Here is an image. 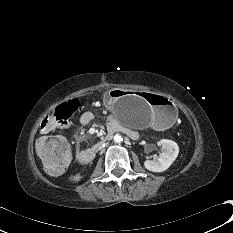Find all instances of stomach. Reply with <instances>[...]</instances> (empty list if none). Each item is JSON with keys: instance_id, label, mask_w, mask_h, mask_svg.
<instances>
[{"instance_id": "0dacf381", "label": "stomach", "mask_w": 233, "mask_h": 233, "mask_svg": "<svg viewBox=\"0 0 233 233\" xmlns=\"http://www.w3.org/2000/svg\"><path fill=\"white\" fill-rule=\"evenodd\" d=\"M104 105L117 121L139 129L148 126L165 128L178 116L175 104L157 94L112 89L107 92Z\"/></svg>"}]
</instances>
